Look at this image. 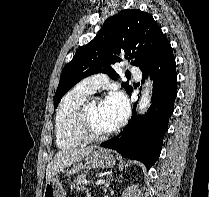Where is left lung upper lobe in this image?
Listing matches in <instances>:
<instances>
[{
	"label": "left lung upper lobe",
	"mask_w": 209,
	"mask_h": 197,
	"mask_svg": "<svg viewBox=\"0 0 209 197\" xmlns=\"http://www.w3.org/2000/svg\"><path fill=\"white\" fill-rule=\"evenodd\" d=\"M165 40L160 26L147 12L126 9L109 17L97 36L64 67L55 93V108L69 89L89 75L102 72L116 79L118 74L112 66L121 61L122 53L128 61L135 58L132 65L141 67ZM123 86L127 93L132 89L128 82Z\"/></svg>",
	"instance_id": "left-lung-upper-lobe-1"
}]
</instances>
